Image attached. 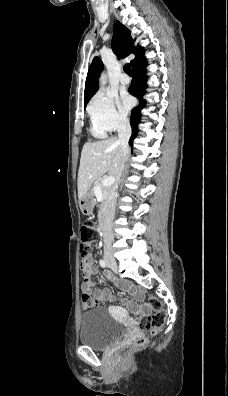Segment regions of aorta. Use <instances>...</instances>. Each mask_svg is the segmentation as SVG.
<instances>
[{
  "instance_id": "1",
  "label": "aorta",
  "mask_w": 228,
  "mask_h": 396,
  "mask_svg": "<svg viewBox=\"0 0 228 396\" xmlns=\"http://www.w3.org/2000/svg\"><path fill=\"white\" fill-rule=\"evenodd\" d=\"M100 83H101L102 85H104V84L106 83V76H105V75H102V76H101V78H100Z\"/></svg>"
}]
</instances>
